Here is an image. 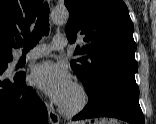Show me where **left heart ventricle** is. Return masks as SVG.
I'll list each match as a JSON object with an SVG mask.
<instances>
[{
  "label": "left heart ventricle",
  "instance_id": "obj_1",
  "mask_svg": "<svg viewBox=\"0 0 156 124\" xmlns=\"http://www.w3.org/2000/svg\"><path fill=\"white\" fill-rule=\"evenodd\" d=\"M80 101V95L76 88L73 86L68 95L66 96L65 100L63 101L62 105L65 107H74Z\"/></svg>",
  "mask_w": 156,
  "mask_h": 124
}]
</instances>
